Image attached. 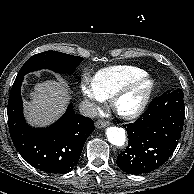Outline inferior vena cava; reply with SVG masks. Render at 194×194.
<instances>
[{"mask_svg": "<svg viewBox=\"0 0 194 194\" xmlns=\"http://www.w3.org/2000/svg\"><path fill=\"white\" fill-rule=\"evenodd\" d=\"M79 111L82 115L87 117H95L97 116V109L94 103L84 100L79 105Z\"/></svg>", "mask_w": 194, "mask_h": 194, "instance_id": "602c4592", "label": "inferior vena cava"}]
</instances>
